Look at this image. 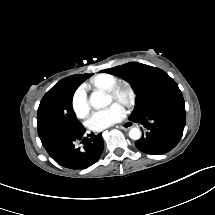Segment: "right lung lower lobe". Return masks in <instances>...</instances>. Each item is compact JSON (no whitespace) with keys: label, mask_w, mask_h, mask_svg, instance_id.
Instances as JSON below:
<instances>
[{"label":"right lung lower lobe","mask_w":215,"mask_h":215,"mask_svg":"<svg viewBox=\"0 0 215 215\" xmlns=\"http://www.w3.org/2000/svg\"><path fill=\"white\" fill-rule=\"evenodd\" d=\"M84 131L48 130L40 133L39 137L48 154L59 165L83 169L96 163L104 149L101 134L83 138Z\"/></svg>","instance_id":"98d812e1"}]
</instances>
